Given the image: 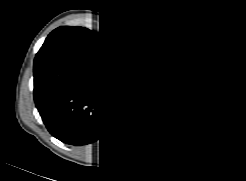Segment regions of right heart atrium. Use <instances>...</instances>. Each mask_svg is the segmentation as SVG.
<instances>
[{
  "mask_svg": "<svg viewBox=\"0 0 246 181\" xmlns=\"http://www.w3.org/2000/svg\"><path fill=\"white\" fill-rule=\"evenodd\" d=\"M109 61L116 66V68L120 69L122 67V62L120 61V58L115 54L111 53L109 55Z\"/></svg>",
  "mask_w": 246,
  "mask_h": 181,
  "instance_id": "d8ad5b80",
  "label": "right heart atrium"
}]
</instances>
